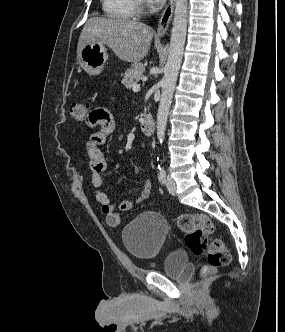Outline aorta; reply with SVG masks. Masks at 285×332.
I'll return each mask as SVG.
<instances>
[{"label": "aorta", "instance_id": "762f6f07", "mask_svg": "<svg viewBox=\"0 0 285 332\" xmlns=\"http://www.w3.org/2000/svg\"><path fill=\"white\" fill-rule=\"evenodd\" d=\"M188 0H176L173 27L170 40V51L161 81V99L157 113V138L163 142L173 92L182 62L187 30Z\"/></svg>", "mask_w": 285, "mask_h": 332}]
</instances>
